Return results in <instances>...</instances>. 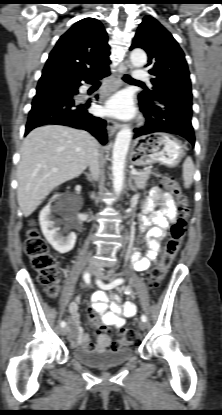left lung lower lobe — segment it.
<instances>
[{"label": "left lung lower lobe", "mask_w": 222, "mask_h": 415, "mask_svg": "<svg viewBox=\"0 0 222 415\" xmlns=\"http://www.w3.org/2000/svg\"><path fill=\"white\" fill-rule=\"evenodd\" d=\"M152 102L139 99L140 111L146 118V124L134 130V138L155 132H167L187 139L195 144L194 129L191 124L192 92L188 79H166L160 83ZM176 103L175 110L167 106L171 100Z\"/></svg>", "instance_id": "left-lung-lower-lobe-1"}]
</instances>
